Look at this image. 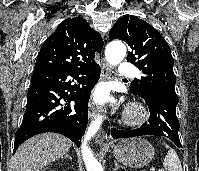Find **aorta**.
I'll list each match as a JSON object with an SVG mask.
<instances>
[{
  "label": "aorta",
  "mask_w": 199,
  "mask_h": 171,
  "mask_svg": "<svg viewBox=\"0 0 199 171\" xmlns=\"http://www.w3.org/2000/svg\"><path fill=\"white\" fill-rule=\"evenodd\" d=\"M126 55V47L120 41H112L105 50L107 62L110 65H118ZM103 116L99 115L88 127L85 136L82 140L81 152L87 171H103L101 164L94 158L88 142L100 129L103 121Z\"/></svg>",
  "instance_id": "1"
}]
</instances>
